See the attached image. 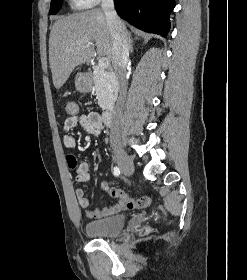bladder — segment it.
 Segmentation results:
<instances>
[{"instance_id":"1","label":"bladder","mask_w":247,"mask_h":280,"mask_svg":"<svg viewBox=\"0 0 247 280\" xmlns=\"http://www.w3.org/2000/svg\"><path fill=\"white\" fill-rule=\"evenodd\" d=\"M126 225L124 215L90 221L85 225V233L94 238H110L119 235Z\"/></svg>"}]
</instances>
